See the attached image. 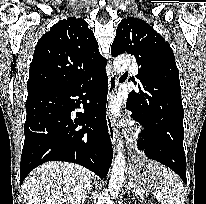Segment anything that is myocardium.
Masks as SVG:
<instances>
[{
	"label": "myocardium",
	"instance_id": "myocardium-1",
	"mask_svg": "<svg viewBox=\"0 0 206 204\" xmlns=\"http://www.w3.org/2000/svg\"><path fill=\"white\" fill-rule=\"evenodd\" d=\"M143 138V131L141 128H137L134 136L135 141H139Z\"/></svg>",
	"mask_w": 206,
	"mask_h": 204
}]
</instances>
